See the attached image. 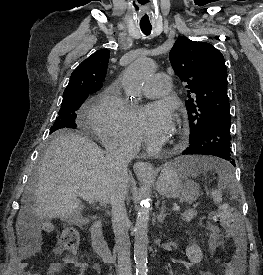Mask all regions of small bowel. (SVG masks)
Segmentation results:
<instances>
[{"instance_id": "c3829d8e", "label": "small bowel", "mask_w": 263, "mask_h": 275, "mask_svg": "<svg viewBox=\"0 0 263 275\" xmlns=\"http://www.w3.org/2000/svg\"><path fill=\"white\" fill-rule=\"evenodd\" d=\"M206 228L209 231V248L212 249L216 247L220 242L219 230L216 226L207 223ZM40 246V240L37 235L31 237L30 242H28L23 248V260L19 263V270L21 275H40L39 273L32 272L28 268L27 259L36 251ZM53 254L55 256V261L50 265L48 275H56L58 274L64 265L74 263V261L67 256L63 255V248L61 246H57L53 250ZM78 267V272L76 275H84V264H76ZM209 275H214L209 272Z\"/></svg>"}]
</instances>
